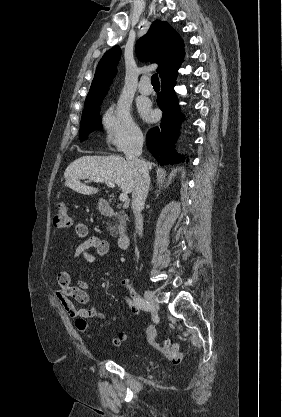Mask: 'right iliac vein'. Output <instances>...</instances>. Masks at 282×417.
I'll use <instances>...</instances> for the list:
<instances>
[{"label": "right iliac vein", "instance_id": "obj_1", "mask_svg": "<svg viewBox=\"0 0 282 417\" xmlns=\"http://www.w3.org/2000/svg\"><path fill=\"white\" fill-rule=\"evenodd\" d=\"M144 297L145 299L152 304V306L155 309L159 308V301L157 296L155 295V293L153 291L147 290L144 292Z\"/></svg>", "mask_w": 282, "mask_h": 417}]
</instances>
